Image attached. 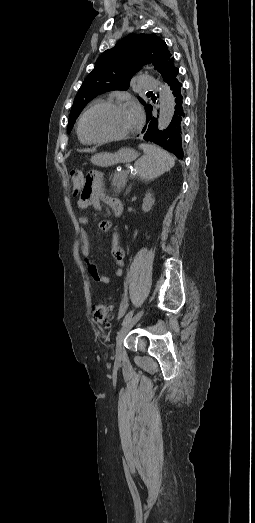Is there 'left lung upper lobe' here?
<instances>
[{
	"instance_id": "5c2ea615",
	"label": "left lung upper lobe",
	"mask_w": 255,
	"mask_h": 523,
	"mask_svg": "<svg viewBox=\"0 0 255 523\" xmlns=\"http://www.w3.org/2000/svg\"><path fill=\"white\" fill-rule=\"evenodd\" d=\"M173 60L174 57L169 52L165 41L155 34H130L123 38L113 48L101 54L93 71L88 74L81 85L69 115L68 133L71 132L75 120L83 108L93 98L111 90H127L131 77L140 70L143 64L152 63L155 69L162 74L165 82L172 80L179 73ZM138 99L145 105L143 99L140 97ZM146 109H149L150 115H152V105H146ZM149 116H147L146 122H148Z\"/></svg>"
}]
</instances>
